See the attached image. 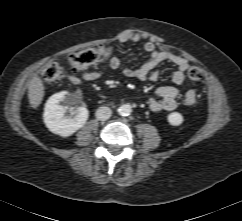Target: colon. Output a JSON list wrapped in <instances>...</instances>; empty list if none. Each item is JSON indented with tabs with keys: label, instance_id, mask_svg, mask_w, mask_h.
Instances as JSON below:
<instances>
[{
	"label": "colon",
	"instance_id": "colon-1",
	"mask_svg": "<svg viewBox=\"0 0 242 221\" xmlns=\"http://www.w3.org/2000/svg\"><path fill=\"white\" fill-rule=\"evenodd\" d=\"M112 53V47L101 45L96 48L85 49L71 53L68 57L70 65L75 70H81L85 67L104 60ZM65 77V71L62 64L58 61L51 62L42 71L41 78L45 85H52ZM187 77L190 82L198 83L202 80V70L196 65H190L187 69Z\"/></svg>",
	"mask_w": 242,
	"mask_h": 221
}]
</instances>
